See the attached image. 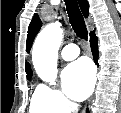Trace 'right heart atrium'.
<instances>
[{
    "instance_id": "right-heart-atrium-1",
    "label": "right heart atrium",
    "mask_w": 121,
    "mask_h": 113,
    "mask_svg": "<svg viewBox=\"0 0 121 113\" xmlns=\"http://www.w3.org/2000/svg\"><path fill=\"white\" fill-rule=\"evenodd\" d=\"M39 90L42 98L50 106L53 113H65L72 108L71 103L59 90L46 84L40 85Z\"/></svg>"
}]
</instances>
